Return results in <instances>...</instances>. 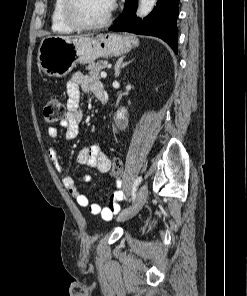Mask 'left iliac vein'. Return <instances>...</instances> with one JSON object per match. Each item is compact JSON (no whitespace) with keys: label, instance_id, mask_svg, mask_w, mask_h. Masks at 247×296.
I'll return each instance as SVG.
<instances>
[{"label":"left iliac vein","instance_id":"4c4485c4","mask_svg":"<svg viewBox=\"0 0 247 296\" xmlns=\"http://www.w3.org/2000/svg\"><path fill=\"white\" fill-rule=\"evenodd\" d=\"M148 197V187L143 185L136 196L135 202L128 208L123 210L117 217V221L122 222L135 216L143 207Z\"/></svg>","mask_w":247,"mask_h":296}]
</instances>
